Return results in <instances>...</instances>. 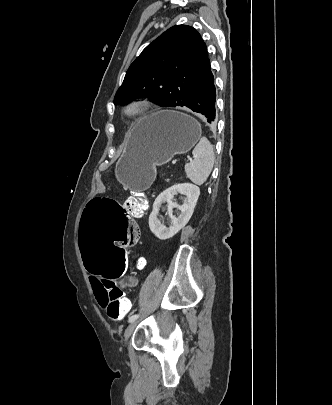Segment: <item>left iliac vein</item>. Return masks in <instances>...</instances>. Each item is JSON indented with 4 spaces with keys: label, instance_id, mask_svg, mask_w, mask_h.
I'll return each mask as SVG.
<instances>
[{
    "label": "left iliac vein",
    "instance_id": "left-iliac-vein-1",
    "mask_svg": "<svg viewBox=\"0 0 332 405\" xmlns=\"http://www.w3.org/2000/svg\"><path fill=\"white\" fill-rule=\"evenodd\" d=\"M137 324H138L137 321H133L125 329V332H124V340H125V342L128 341V339L130 338V336L133 333L134 329L136 328Z\"/></svg>",
    "mask_w": 332,
    "mask_h": 405
}]
</instances>
